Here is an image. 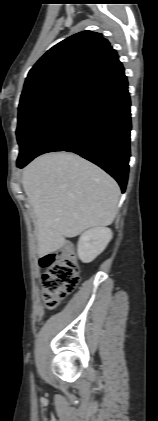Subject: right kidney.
Masks as SVG:
<instances>
[{
  "mask_svg": "<svg viewBox=\"0 0 158 421\" xmlns=\"http://www.w3.org/2000/svg\"><path fill=\"white\" fill-rule=\"evenodd\" d=\"M112 231L106 227H96L85 231L79 238L77 252L84 263L92 262L101 254L112 239Z\"/></svg>",
  "mask_w": 158,
  "mask_h": 421,
  "instance_id": "ca27d5eb",
  "label": "right kidney"
}]
</instances>
